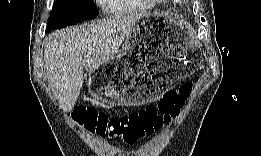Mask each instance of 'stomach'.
Segmentation results:
<instances>
[{
	"mask_svg": "<svg viewBox=\"0 0 261 156\" xmlns=\"http://www.w3.org/2000/svg\"><path fill=\"white\" fill-rule=\"evenodd\" d=\"M148 41H158L155 55L134 67L128 59ZM198 62L192 31L178 17L166 13L145 16L128 33L123 49L91 73L88 87L95 99L108 105H143L157 101L187 78Z\"/></svg>",
	"mask_w": 261,
	"mask_h": 156,
	"instance_id": "obj_1",
	"label": "stomach"
}]
</instances>
